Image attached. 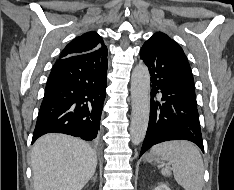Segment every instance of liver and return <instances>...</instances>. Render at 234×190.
I'll return each mask as SVG.
<instances>
[{"label":"liver","instance_id":"obj_1","mask_svg":"<svg viewBox=\"0 0 234 190\" xmlns=\"http://www.w3.org/2000/svg\"><path fill=\"white\" fill-rule=\"evenodd\" d=\"M34 190H81L97 167L95 151L63 134L40 137L31 151Z\"/></svg>","mask_w":234,"mask_h":190}]
</instances>
